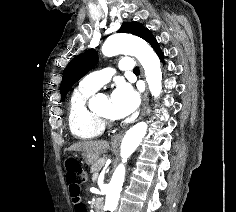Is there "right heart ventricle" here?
<instances>
[{
  "label": "right heart ventricle",
  "mask_w": 236,
  "mask_h": 212,
  "mask_svg": "<svg viewBox=\"0 0 236 212\" xmlns=\"http://www.w3.org/2000/svg\"><path fill=\"white\" fill-rule=\"evenodd\" d=\"M96 90L80 83L70 98L68 108L69 128L71 133L78 139H94L101 136L105 131V125L88 107V100Z\"/></svg>",
  "instance_id": "e07e8e85"
}]
</instances>
